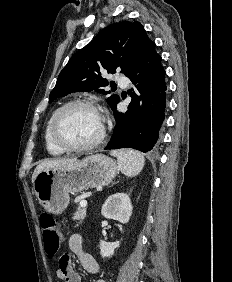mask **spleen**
Here are the masks:
<instances>
[{
    "instance_id": "3e777b00",
    "label": "spleen",
    "mask_w": 232,
    "mask_h": 282,
    "mask_svg": "<svg viewBox=\"0 0 232 282\" xmlns=\"http://www.w3.org/2000/svg\"><path fill=\"white\" fill-rule=\"evenodd\" d=\"M110 154L117 158L120 170L127 176H135L144 167L145 159L139 152L126 149L114 150Z\"/></svg>"
}]
</instances>
